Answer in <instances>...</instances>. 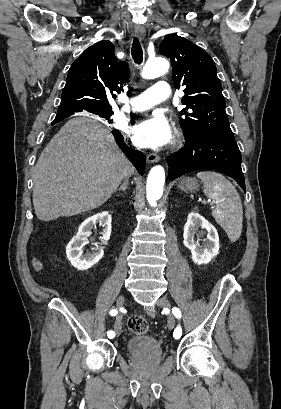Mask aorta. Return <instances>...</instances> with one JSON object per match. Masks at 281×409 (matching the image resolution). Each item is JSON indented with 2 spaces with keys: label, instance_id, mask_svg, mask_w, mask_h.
Listing matches in <instances>:
<instances>
[{
  "label": "aorta",
  "instance_id": "aorta-1",
  "mask_svg": "<svg viewBox=\"0 0 281 409\" xmlns=\"http://www.w3.org/2000/svg\"><path fill=\"white\" fill-rule=\"evenodd\" d=\"M169 69V62L164 58L149 59L142 72L145 79H154L165 74ZM165 183V171L160 165L154 166L147 178V200L151 206H156L157 201L163 195Z\"/></svg>",
  "mask_w": 281,
  "mask_h": 409
}]
</instances>
